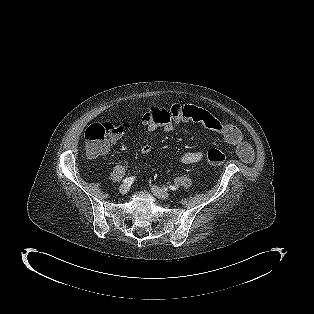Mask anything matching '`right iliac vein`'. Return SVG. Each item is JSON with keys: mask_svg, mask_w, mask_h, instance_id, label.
<instances>
[{"mask_svg": "<svg viewBox=\"0 0 314 314\" xmlns=\"http://www.w3.org/2000/svg\"><path fill=\"white\" fill-rule=\"evenodd\" d=\"M128 191H129V185H127V184L120 185L119 192L121 194H126Z\"/></svg>", "mask_w": 314, "mask_h": 314, "instance_id": "63e3f726", "label": "right iliac vein"}]
</instances>
